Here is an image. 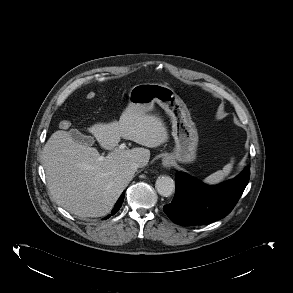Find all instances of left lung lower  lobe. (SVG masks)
Listing matches in <instances>:
<instances>
[{"instance_id":"1","label":"left lung lower lobe","mask_w":293,"mask_h":293,"mask_svg":"<svg viewBox=\"0 0 293 293\" xmlns=\"http://www.w3.org/2000/svg\"><path fill=\"white\" fill-rule=\"evenodd\" d=\"M250 178L246 167L236 178L217 186H208L186 173L176 174V192L163 207L167 216L179 225H203L224 218L234 208Z\"/></svg>"}]
</instances>
